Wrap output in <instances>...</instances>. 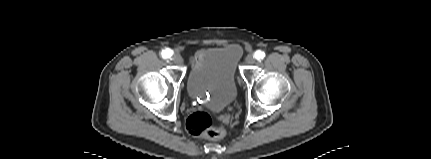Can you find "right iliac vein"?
<instances>
[{
	"label": "right iliac vein",
	"mask_w": 431,
	"mask_h": 159,
	"mask_svg": "<svg viewBox=\"0 0 431 159\" xmlns=\"http://www.w3.org/2000/svg\"><path fill=\"white\" fill-rule=\"evenodd\" d=\"M172 60L177 65H181L183 63V59L179 54H174Z\"/></svg>",
	"instance_id": "obj_1"
}]
</instances>
